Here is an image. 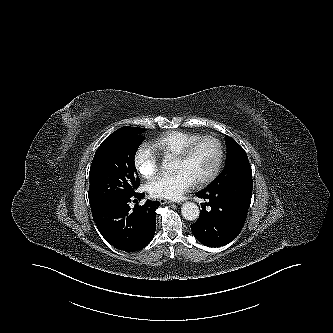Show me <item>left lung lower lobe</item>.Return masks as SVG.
Masks as SVG:
<instances>
[{
	"instance_id": "obj_1",
	"label": "left lung lower lobe",
	"mask_w": 333,
	"mask_h": 333,
	"mask_svg": "<svg viewBox=\"0 0 333 333\" xmlns=\"http://www.w3.org/2000/svg\"><path fill=\"white\" fill-rule=\"evenodd\" d=\"M196 196L207 200L202 203L198 220L191 225L196 239L208 247L224 246L234 240L244 226L251 199L232 193L222 184L209 185Z\"/></svg>"
}]
</instances>
